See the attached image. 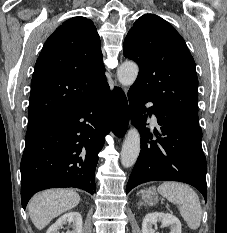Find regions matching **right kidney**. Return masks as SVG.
<instances>
[{
  "instance_id": "obj_1",
  "label": "right kidney",
  "mask_w": 227,
  "mask_h": 233,
  "mask_svg": "<svg viewBox=\"0 0 227 233\" xmlns=\"http://www.w3.org/2000/svg\"><path fill=\"white\" fill-rule=\"evenodd\" d=\"M71 224L73 230L67 233H82V216L79 212H68L52 224L46 233H59L63 225Z\"/></svg>"
}]
</instances>
